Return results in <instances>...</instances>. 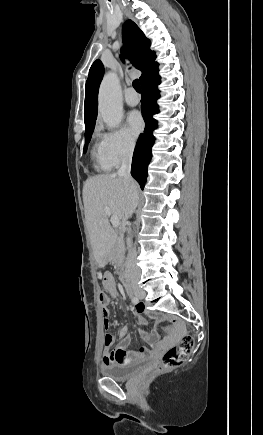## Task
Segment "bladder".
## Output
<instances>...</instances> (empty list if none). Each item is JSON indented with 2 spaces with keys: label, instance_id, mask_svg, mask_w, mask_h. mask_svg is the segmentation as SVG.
I'll list each match as a JSON object with an SVG mask.
<instances>
[{
  "label": "bladder",
  "instance_id": "bladder-1",
  "mask_svg": "<svg viewBox=\"0 0 263 435\" xmlns=\"http://www.w3.org/2000/svg\"><path fill=\"white\" fill-rule=\"evenodd\" d=\"M140 360L126 365H109L102 368V374L117 381H125L134 376L146 363Z\"/></svg>",
  "mask_w": 263,
  "mask_h": 435
}]
</instances>
